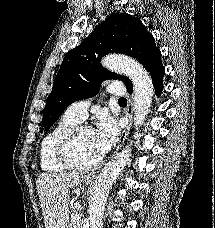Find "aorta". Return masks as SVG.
Wrapping results in <instances>:
<instances>
[{
  "instance_id": "762f6f07",
  "label": "aorta",
  "mask_w": 215,
  "mask_h": 228,
  "mask_svg": "<svg viewBox=\"0 0 215 228\" xmlns=\"http://www.w3.org/2000/svg\"><path fill=\"white\" fill-rule=\"evenodd\" d=\"M101 64L103 68L126 74L131 80L134 94V126L135 128H140V126H143L148 112H150L154 96L151 76L143 68L142 64H138L136 60L126 58V56H112L111 54V56L102 58ZM129 158V150H122L97 176L95 190L92 192L90 200L89 228H103L102 218L109 190L113 182L124 170Z\"/></svg>"
}]
</instances>
